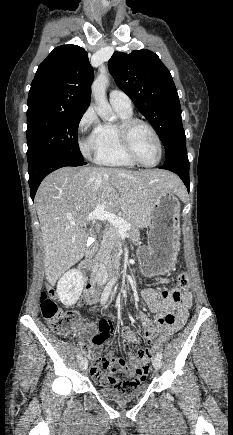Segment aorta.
<instances>
[{
  "label": "aorta",
  "instance_id": "762f6f07",
  "mask_svg": "<svg viewBox=\"0 0 233 435\" xmlns=\"http://www.w3.org/2000/svg\"><path fill=\"white\" fill-rule=\"evenodd\" d=\"M109 83V78L105 70H101L100 74L94 80L91 87V94L96 103L95 110L97 114L108 121L116 119V115L113 113L111 106L106 99V88Z\"/></svg>",
  "mask_w": 233,
  "mask_h": 435
}]
</instances>
